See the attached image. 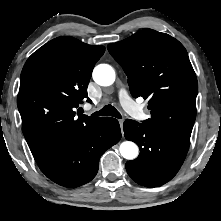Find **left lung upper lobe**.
Masks as SVG:
<instances>
[{"label": "left lung upper lobe", "instance_id": "5c2ea615", "mask_svg": "<svg viewBox=\"0 0 221 221\" xmlns=\"http://www.w3.org/2000/svg\"><path fill=\"white\" fill-rule=\"evenodd\" d=\"M108 50L125 71L132 96L150 98L151 118L144 123L189 141L198 85L184 46L168 34L144 29Z\"/></svg>", "mask_w": 221, "mask_h": 221}]
</instances>
